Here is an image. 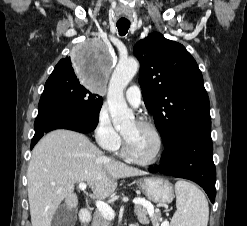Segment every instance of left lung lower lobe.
<instances>
[{"instance_id":"obj_1","label":"left lung lower lobe","mask_w":247,"mask_h":226,"mask_svg":"<svg viewBox=\"0 0 247 226\" xmlns=\"http://www.w3.org/2000/svg\"><path fill=\"white\" fill-rule=\"evenodd\" d=\"M162 163L149 168L152 173L160 172L185 178L198 183L215 200L216 169L213 162L211 121L196 122L165 145Z\"/></svg>"}]
</instances>
